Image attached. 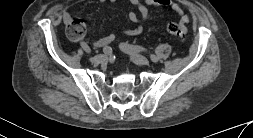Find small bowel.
Here are the masks:
<instances>
[{"label":"small bowel","instance_id":"c3829d8e","mask_svg":"<svg viewBox=\"0 0 253 138\" xmlns=\"http://www.w3.org/2000/svg\"><path fill=\"white\" fill-rule=\"evenodd\" d=\"M83 1V0H82ZM100 2L110 1L112 3L117 0H99ZM138 10L139 15L134 11L128 12V19L134 24L131 28H124L120 30L122 35L126 36H136L142 33L143 26L142 23L149 18V9L148 7H169L173 12H175L179 17L181 23L189 22V17L184 14L180 4L173 2L172 0H129ZM73 19V16L70 12L66 11L63 14V20L67 24ZM115 39V34H107L94 41V46L98 48H104L110 44ZM84 48L88 50L89 48L82 43Z\"/></svg>","mask_w":253,"mask_h":138}]
</instances>
